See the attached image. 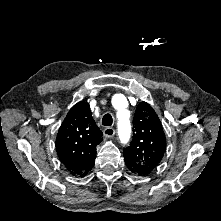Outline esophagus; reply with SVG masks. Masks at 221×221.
<instances>
[{
    "label": "esophagus",
    "instance_id": "obj_1",
    "mask_svg": "<svg viewBox=\"0 0 221 221\" xmlns=\"http://www.w3.org/2000/svg\"><path fill=\"white\" fill-rule=\"evenodd\" d=\"M103 134L106 138H110L115 134V130L111 127L105 128Z\"/></svg>",
    "mask_w": 221,
    "mask_h": 221
}]
</instances>
